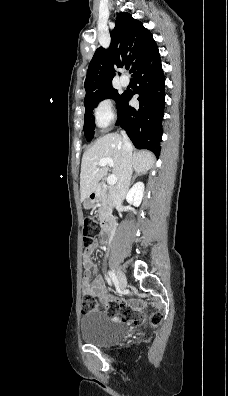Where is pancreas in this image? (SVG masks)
<instances>
[{
    "label": "pancreas",
    "mask_w": 228,
    "mask_h": 396,
    "mask_svg": "<svg viewBox=\"0 0 228 396\" xmlns=\"http://www.w3.org/2000/svg\"><path fill=\"white\" fill-rule=\"evenodd\" d=\"M96 192L97 200L101 203V207L99 208V219L105 220L112 212V192L106 188L105 184H99Z\"/></svg>",
    "instance_id": "pancreas-1"
}]
</instances>
